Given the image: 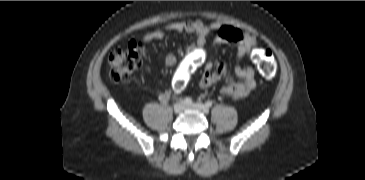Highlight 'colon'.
<instances>
[{
    "label": "colon",
    "mask_w": 365,
    "mask_h": 180,
    "mask_svg": "<svg viewBox=\"0 0 365 180\" xmlns=\"http://www.w3.org/2000/svg\"><path fill=\"white\" fill-rule=\"evenodd\" d=\"M252 59L261 75L266 79H272L276 75V61L272 52L268 49L258 48L252 55ZM109 78L113 82H125L130 79L134 71L142 64L141 44L130 42L127 48L115 49L108 57ZM182 85H178L180 89Z\"/></svg>",
    "instance_id": "colon-1"
}]
</instances>
